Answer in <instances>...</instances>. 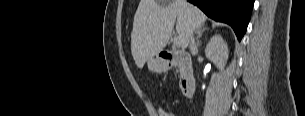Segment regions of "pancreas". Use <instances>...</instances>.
Returning a JSON list of instances; mask_svg holds the SVG:
<instances>
[{"label": "pancreas", "mask_w": 305, "mask_h": 116, "mask_svg": "<svg viewBox=\"0 0 305 116\" xmlns=\"http://www.w3.org/2000/svg\"><path fill=\"white\" fill-rule=\"evenodd\" d=\"M177 66L179 68V72L181 73L182 72V65L180 63H177Z\"/></svg>", "instance_id": "cf45deb5"}]
</instances>
